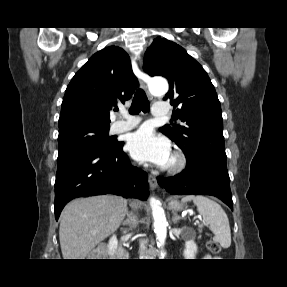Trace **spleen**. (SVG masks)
Here are the masks:
<instances>
[{
  "instance_id": "1",
  "label": "spleen",
  "mask_w": 287,
  "mask_h": 287,
  "mask_svg": "<svg viewBox=\"0 0 287 287\" xmlns=\"http://www.w3.org/2000/svg\"><path fill=\"white\" fill-rule=\"evenodd\" d=\"M188 201H193L197 206L199 214L210 225V229L220 245L223 248H229L231 245V230L228 217L222 207L217 202L202 195H187L182 198V202Z\"/></svg>"
}]
</instances>
